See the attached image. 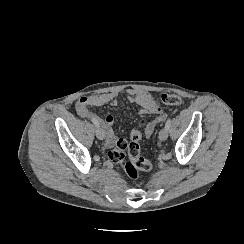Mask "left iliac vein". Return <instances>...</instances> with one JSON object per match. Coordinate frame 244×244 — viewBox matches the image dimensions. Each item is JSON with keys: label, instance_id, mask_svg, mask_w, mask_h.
<instances>
[{"label": "left iliac vein", "instance_id": "4c4485c4", "mask_svg": "<svg viewBox=\"0 0 244 244\" xmlns=\"http://www.w3.org/2000/svg\"><path fill=\"white\" fill-rule=\"evenodd\" d=\"M168 138V130L167 128H162L159 132V140L165 141Z\"/></svg>", "mask_w": 244, "mask_h": 244}]
</instances>
